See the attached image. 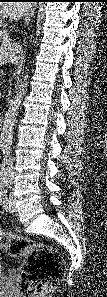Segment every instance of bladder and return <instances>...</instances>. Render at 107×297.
Instances as JSON below:
<instances>
[{
	"instance_id": "obj_1",
	"label": "bladder",
	"mask_w": 107,
	"mask_h": 297,
	"mask_svg": "<svg viewBox=\"0 0 107 297\" xmlns=\"http://www.w3.org/2000/svg\"><path fill=\"white\" fill-rule=\"evenodd\" d=\"M0 279H4V273L2 272V270L0 269Z\"/></svg>"
}]
</instances>
